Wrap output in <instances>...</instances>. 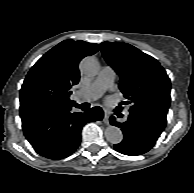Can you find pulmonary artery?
Segmentation results:
<instances>
[{
	"label": "pulmonary artery",
	"mask_w": 194,
	"mask_h": 193,
	"mask_svg": "<svg viewBox=\"0 0 194 193\" xmlns=\"http://www.w3.org/2000/svg\"><path fill=\"white\" fill-rule=\"evenodd\" d=\"M114 78L115 71L110 66H104L93 83L80 90L78 95L82 101H94L113 84ZM126 114H128V112Z\"/></svg>",
	"instance_id": "e3ab8cb5"
}]
</instances>
